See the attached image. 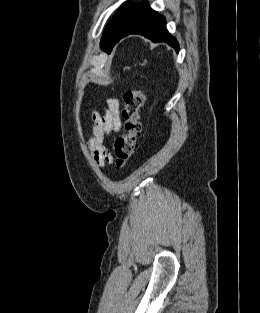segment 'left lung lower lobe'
I'll use <instances>...</instances> for the list:
<instances>
[{"label":"left lung lower lobe","mask_w":260,"mask_h":313,"mask_svg":"<svg viewBox=\"0 0 260 313\" xmlns=\"http://www.w3.org/2000/svg\"><path fill=\"white\" fill-rule=\"evenodd\" d=\"M140 34L153 42H166L176 51L179 50V45L174 37H172L166 29V20L162 15L148 7L128 29L119 38L130 35Z\"/></svg>","instance_id":"left-lung-lower-lobe-1"}]
</instances>
